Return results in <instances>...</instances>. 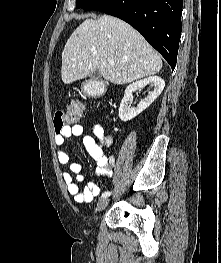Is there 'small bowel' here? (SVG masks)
Wrapping results in <instances>:
<instances>
[{"mask_svg": "<svg viewBox=\"0 0 221 263\" xmlns=\"http://www.w3.org/2000/svg\"><path fill=\"white\" fill-rule=\"evenodd\" d=\"M93 136L98 139V142L93 136L84 135L83 126L75 124L66 127L61 134H56L54 141L59 148L57 150V158L62 165H68L70 172L62 174V180L66 186L67 193L74 198L78 204L91 203L100 193V188L96 183H88L81 190L76 181H83L84 174L82 165L78 162H71L69 155L60 147L64 146L66 141L72 137H82V144L86 148L88 154L96 162V174L100 177L111 178L115 167V156L109 153V148L113 142L111 135L105 133L102 125L96 123L92 126Z\"/></svg>", "mask_w": 221, "mask_h": 263, "instance_id": "small-bowel-1", "label": "small bowel"}]
</instances>
